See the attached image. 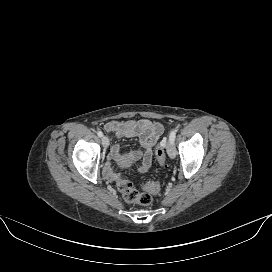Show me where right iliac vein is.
<instances>
[{
    "instance_id": "63e3f726",
    "label": "right iliac vein",
    "mask_w": 272,
    "mask_h": 272,
    "mask_svg": "<svg viewBox=\"0 0 272 272\" xmlns=\"http://www.w3.org/2000/svg\"><path fill=\"white\" fill-rule=\"evenodd\" d=\"M102 145H103V147H104L105 149L108 147V145H109V139H108L107 136H103V137H102Z\"/></svg>"
}]
</instances>
